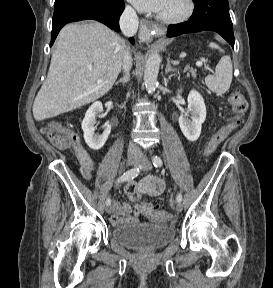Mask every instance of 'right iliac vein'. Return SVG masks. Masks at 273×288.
Wrapping results in <instances>:
<instances>
[{
	"mask_svg": "<svg viewBox=\"0 0 273 288\" xmlns=\"http://www.w3.org/2000/svg\"><path fill=\"white\" fill-rule=\"evenodd\" d=\"M127 163L129 166H135L138 164V159L135 157H129L127 160ZM113 211V207L111 205L106 207V213L107 214H111Z\"/></svg>",
	"mask_w": 273,
	"mask_h": 288,
	"instance_id": "right-iliac-vein-1",
	"label": "right iliac vein"
}]
</instances>
